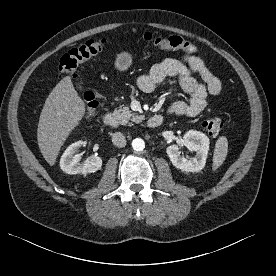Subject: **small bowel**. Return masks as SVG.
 I'll return each instance as SVG.
<instances>
[{"mask_svg":"<svg viewBox=\"0 0 276 276\" xmlns=\"http://www.w3.org/2000/svg\"><path fill=\"white\" fill-rule=\"evenodd\" d=\"M167 78L176 79L180 87L189 96L187 100L173 101L168 112L177 116H195L202 112L209 97L220 95L222 85L197 56L186 55L181 60L167 58L155 64L149 72L137 79V85L143 92L150 93Z\"/></svg>","mask_w":276,"mask_h":276,"instance_id":"obj_1","label":"small bowel"}]
</instances>
